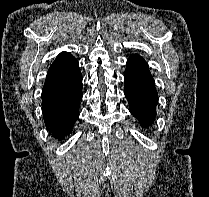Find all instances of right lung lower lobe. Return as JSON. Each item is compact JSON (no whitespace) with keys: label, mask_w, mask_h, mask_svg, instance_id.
<instances>
[{"label":"right lung lower lobe","mask_w":209,"mask_h":197,"mask_svg":"<svg viewBox=\"0 0 209 197\" xmlns=\"http://www.w3.org/2000/svg\"><path fill=\"white\" fill-rule=\"evenodd\" d=\"M82 75L78 61L71 55L52 64L42 89V112L47 129L61 139L79 117Z\"/></svg>","instance_id":"right-lung-lower-lobe-1"}]
</instances>
